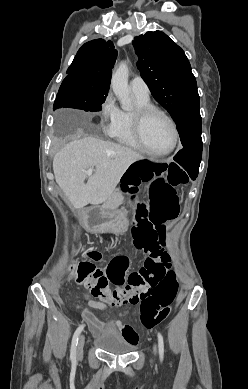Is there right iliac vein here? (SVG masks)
<instances>
[{"mask_svg":"<svg viewBox=\"0 0 248 389\" xmlns=\"http://www.w3.org/2000/svg\"><path fill=\"white\" fill-rule=\"evenodd\" d=\"M84 343H85V336L81 335L79 337V341H78V345H77V355L78 356H80L83 352Z\"/></svg>","mask_w":248,"mask_h":389,"instance_id":"obj_1","label":"right iliac vein"}]
</instances>
